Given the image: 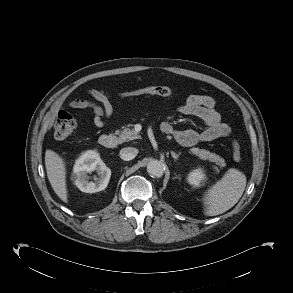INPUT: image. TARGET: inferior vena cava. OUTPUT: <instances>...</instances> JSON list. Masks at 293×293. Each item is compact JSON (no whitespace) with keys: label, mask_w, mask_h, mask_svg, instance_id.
I'll use <instances>...</instances> for the list:
<instances>
[{"label":"inferior vena cava","mask_w":293,"mask_h":293,"mask_svg":"<svg viewBox=\"0 0 293 293\" xmlns=\"http://www.w3.org/2000/svg\"><path fill=\"white\" fill-rule=\"evenodd\" d=\"M120 158L125 161L132 160L138 154V150L133 147H126L120 150Z\"/></svg>","instance_id":"obj_1"}]
</instances>
